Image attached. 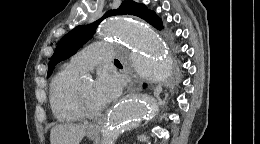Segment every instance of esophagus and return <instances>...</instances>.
I'll return each instance as SVG.
<instances>
[{
    "instance_id": "obj_1",
    "label": "esophagus",
    "mask_w": 260,
    "mask_h": 144,
    "mask_svg": "<svg viewBox=\"0 0 260 144\" xmlns=\"http://www.w3.org/2000/svg\"><path fill=\"white\" fill-rule=\"evenodd\" d=\"M130 77H131V82L128 85V88H127V91H126L127 95H130V94L138 91L139 88H140V81H139V79L136 78L133 74H130ZM89 129L92 130V131H97V130H99V125L98 124H93V125L90 126Z\"/></svg>"
}]
</instances>
